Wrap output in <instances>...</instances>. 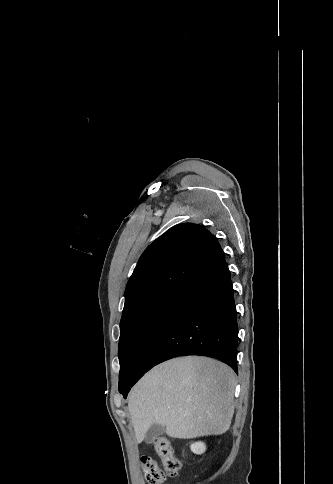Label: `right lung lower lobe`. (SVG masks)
I'll return each instance as SVG.
<instances>
[{
	"instance_id": "98d812e1",
	"label": "right lung lower lobe",
	"mask_w": 333,
	"mask_h": 484,
	"mask_svg": "<svg viewBox=\"0 0 333 484\" xmlns=\"http://www.w3.org/2000/svg\"><path fill=\"white\" fill-rule=\"evenodd\" d=\"M237 312L224 257L173 291L142 336L120 391L124 398L150 368L176 356L223 360L237 373Z\"/></svg>"
}]
</instances>
